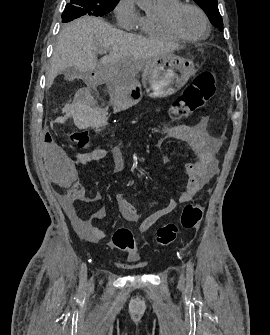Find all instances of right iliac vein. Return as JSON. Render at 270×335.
Wrapping results in <instances>:
<instances>
[{"label": "right iliac vein", "instance_id": "63e3f726", "mask_svg": "<svg viewBox=\"0 0 270 335\" xmlns=\"http://www.w3.org/2000/svg\"><path fill=\"white\" fill-rule=\"evenodd\" d=\"M90 285H92V280L90 281Z\"/></svg>", "mask_w": 270, "mask_h": 335}]
</instances>
